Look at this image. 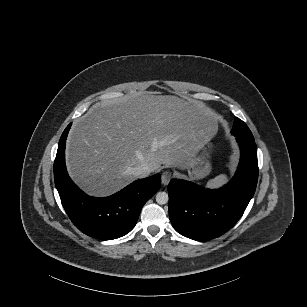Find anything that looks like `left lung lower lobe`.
<instances>
[{
  "label": "left lung lower lobe",
  "instance_id": "left-lung-lower-lobe-1",
  "mask_svg": "<svg viewBox=\"0 0 307 307\" xmlns=\"http://www.w3.org/2000/svg\"><path fill=\"white\" fill-rule=\"evenodd\" d=\"M241 158L235 176L217 190L172 179L168 185L169 217L175 230L188 238L206 241L232 228L254 195L258 180L254 138L235 136Z\"/></svg>",
  "mask_w": 307,
  "mask_h": 307
}]
</instances>
